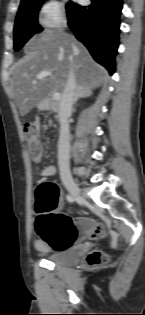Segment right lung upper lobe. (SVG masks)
I'll return each mask as SVG.
<instances>
[{
    "label": "right lung upper lobe",
    "mask_w": 145,
    "mask_h": 315,
    "mask_svg": "<svg viewBox=\"0 0 145 315\" xmlns=\"http://www.w3.org/2000/svg\"><path fill=\"white\" fill-rule=\"evenodd\" d=\"M29 1H32V0H21V4H22V3L29 2Z\"/></svg>",
    "instance_id": "cb5924a9"
}]
</instances>
